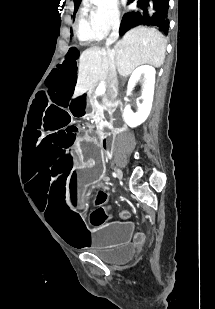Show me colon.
I'll list each match as a JSON object with an SVG mask.
<instances>
[{
	"instance_id": "obj_1",
	"label": "colon",
	"mask_w": 215,
	"mask_h": 309,
	"mask_svg": "<svg viewBox=\"0 0 215 309\" xmlns=\"http://www.w3.org/2000/svg\"><path fill=\"white\" fill-rule=\"evenodd\" d=\"M108 209H110V207H108ZM106 213H107V210H106V209H102V210L95 216L94 221H95V222H98L100 219H102V217H103L104 215H106Z\"/></svg>"
}]
</instances>
